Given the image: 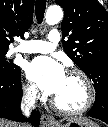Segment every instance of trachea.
<instances>
[{"label": "trachea", "instance_id": "3493384b", "mask_svg": "<svg viewBox=\"0 0 108 127\" xmlns=\"http://www.w3.org/2000/svg\"><path fill=\"white\" fill-rule=\"evenodd\" d=\"M35 14L38 24H41L46 9V0H36Z\"/></svg>", "mask_w": 108, "mask_h": 127}]
</instances>
